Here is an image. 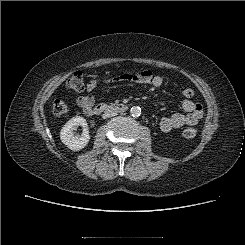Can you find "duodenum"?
<instances>
[{"mask_svg": "<svg viewBox=\"0 0 245 245\" xmlns=\"http://www.w3.org/2000/svg\"><path fill=\"white\" fill-rule=\"evenodd\" d=\"M127 109H128V106L124 103H112V104L101 103L93 107L90 110V115H93V116L99 115L109 110L122 113V112H125Z\"/></svg>", "mask_w": 245, "mask_h": 245, "instance_id": "410a0bca", "label": "duodenum"}]
</instances>
